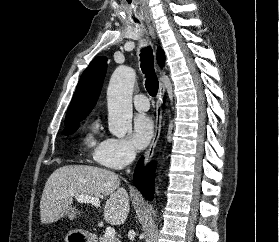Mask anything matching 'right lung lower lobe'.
<instances>
[{
	"mask_svg": "<svg viewBox=\"0 0 279 242\" xmlns=\"http://www.w3.org/2000/svg\"><path fill=\"white\" fill-rule=\"evenodd\" d=\"M143 160L144 158L142 157L137 163L134 172V184L145 196V198L153 200L155 165L148 164L144 168Z\"/></svg>",
	"mask_w": 279,
	"mask_h": 242,
	"instance_id": "1",
	"label": "right lung lower lobe"
}]
</instances>
